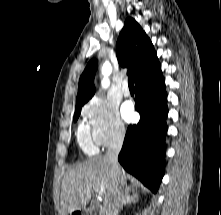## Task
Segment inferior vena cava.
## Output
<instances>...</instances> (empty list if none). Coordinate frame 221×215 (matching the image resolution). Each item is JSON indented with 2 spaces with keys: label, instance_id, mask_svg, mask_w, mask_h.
<instances>
[{
  "label": "inferior vena cava",
  "instance_id": "1",
  "mask_svg": "<svg viewBox=\"0 0 221 215\" xmlns=\"http://www.w3.org/2000/svg\"><path fill=\"white\" fill-rule=\"evenodd\" d=\"M122 144L123 135H120L113 142V144H111L106 153V157L111 165L113 176L116 180V186L112 197L104 205L103 215H118V212L126 196V190L124 188V182L122 179L121 167L118 163V154L122 148Z\"/></svg>",
  "mask_w": 221,
  "mask_h": 215
}]
</instances>
